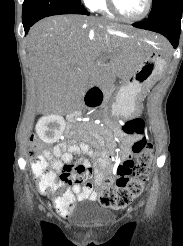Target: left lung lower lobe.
Instances as JSON below:
<instances>
[{
	"mask_svg": "<svg viewBox=\"0 0 183 246\" xmlns=\"http://www.w3.org/2000/svg\"><path fill=\"white\" fill-rule=\"evenodd\" d=\"M182 7L183 0H172L147 19L133 23V26L160 33L177 48L181 33Z\"/></svg>",
	"mask_w": 183,
	"mask_h": 246,
	"instance_id": "0a47b994",
	"label": "left lung lower lobe"
}]
</instances>
